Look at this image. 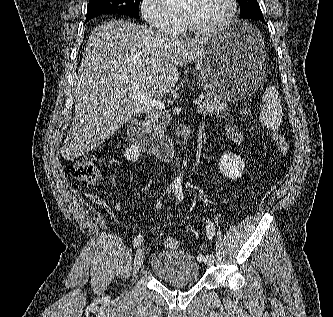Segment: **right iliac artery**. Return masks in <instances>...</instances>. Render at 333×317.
Listing matches in <instances>:
<instances>
[{
	"mask_svg": "<svg viewBox=\"0 0 333 317\" xmlns=\"http://www.w3.org/2000/svg\"><path fill=\"white\" fill-rule=\"evenodd\" d=\"M173 188V187H172ZM169 189H171V186H170V188H167V191L169 190ZM156 207H157V209L158 208H161V201L159 200L158 201V203L156 204ZM143 240H144V238H143V236L142 235H138V236H136L135 238H134V247H137V246H139V245H141V243L143 242Z\"/></svg>",
	"mask_w": 333,
	"mask_h": 317,
	"instance_id": "82829eb1",
	"label": "right iliac artery"
}]
</instances>
